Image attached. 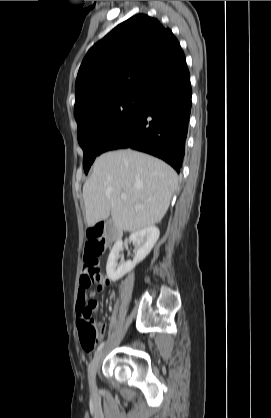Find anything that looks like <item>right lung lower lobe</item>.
Here are the masks:
<instances>
[{"instance_id":"obj_1","label":"right lung lower lobe","mask_w":271,"mask_h":418,"mask_svg":"<svg viewBox=\"0 0 271 418\" xmlns=\"http://www.w3.org/2000/svg\"><path fill=\"white\" fill-rule=\"evenodd\" d=\"M191 96L190 74L185 65L142 108L108 135L99 154L132 148L163 159L179 172L185 154Z\"/></svg>"}]
</instances>
